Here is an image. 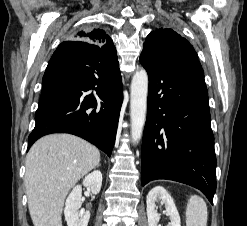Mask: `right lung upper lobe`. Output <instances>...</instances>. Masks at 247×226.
Instances as JSON below:
<instances>
[{"label":"right lung upper lobe","mask_w":247,"mask_h":226,"mask_svg":"<svg viewBox=\"0 0 247 226\" xmlns=\"http://www.w3.org/2000/svg\"><path fill=\"white\" fill-rule=\"evenodd\" d=\"M74 38L75 40L97 45L106 49L114 47L111 38L106 34V32L98 28L78 31L74 35Z\"/></svg>","instance_id":"right-lung-upper-lobe-1"}]
</instances>
